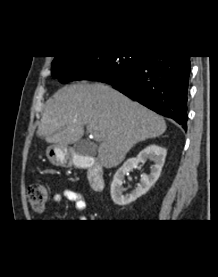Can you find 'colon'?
I'll return each instance as SVG.
<instances>
[{"mask_svg": "<svg viewBox=\"0 0 218 277\" xmlns=\"http://www.w3.org/2000/svg\"><path fill=\"white\" fill-rule=\"evenodd\" d=\"M27 195L32 209L42 212L50 198V191L45 185L35 183L28 187Z\"/></svg>", "mask_w": 218, "mask_h": 277, "instance_id": "obj_1", "label": "colon"}]
</instances>
